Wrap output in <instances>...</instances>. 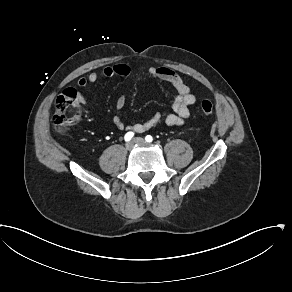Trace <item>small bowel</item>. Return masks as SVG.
Segmentation results:
<instances>
[{"label":"small bowel","mask_w":292,"mask_h":292,"mask_svg":"<svg viewBox=\"0 0 292 292\" xmlns=\"http://www.w3.org/2000/svg\"><path fill=\"white\" fill-rule=\"evenodd\" d=\"M146 74L149 77L157 80H161L171 84L177 91V95L172 103V112L167 114L164 121L169 127H176L184 124L190 117V107L196 103V96L191 92L190 87L175 71L167 67H147L138 66L134 69L124 63L115 65H109L103 68L102 75L104 77H113L115 75L121 77H128L131 73ZM99 80V74L97 72H90L87 76L80 77L77 80V86L80 88H86L90 84H95ZM73 94L79 101H82L89 107L98 108V103H92L84 98L77 90L73 91ZM125 105V96L122 95L116 102L117 110H122ZM163 117L157 113L151 116L149 119L142 123L134 124L131 129L137 133H142L156 127ZM113 125L120 131L126 129V125L120 116H115L112 120Z\"/></svg>","instance_id":"small-bowel-1"}]
</instances>
